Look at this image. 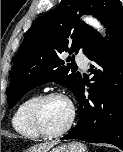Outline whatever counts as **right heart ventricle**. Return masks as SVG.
<instances>
[{"mask_svg":"<svg viewBox=\"0 0 123 152\" xmlns=\"http://www.w3.org/2000/svg\"><path fill=\"white\" fill-rule=\"evenodd\" d=\"M38 95L24 99L15 109L12 116V127L17 134L27 139H38L41 136L33 129L29 121V111Z\"/></svg>","mask_w":123,"mask_h":152,"instance_id":"obj_1","label":"right heart ventricle"}]
</instances>
